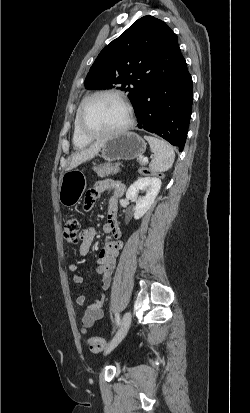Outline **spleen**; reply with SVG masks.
Here are the masks:
<instances>
[{
    "label": "spleen",
    "mask_w": 250,
    "mask_h": 413,
    "mask_svg": "<svg viewBox=\"0 0 250 413\" xmlns=\"http://www.w3.org/2000/svg\"><path fill=\"white\" fill-rule=\"evenodd\" d=\"M145 139L148 141L151 151L154 153V157L149 164L151 172L158 173L169 170L175 159L173 147L165 140L151 136H145Z\"/></svg>",
    "instance_id": "obj_1"
}]
</instances>
